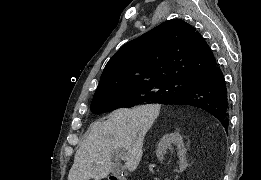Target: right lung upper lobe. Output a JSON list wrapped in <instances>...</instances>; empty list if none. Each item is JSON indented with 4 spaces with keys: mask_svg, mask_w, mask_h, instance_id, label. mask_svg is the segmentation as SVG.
I'll use <instances>...</instances> for the list:
<instances>
[{
    "mask_svg": "<svg viewBox=\"0 0 261 180\" xmlns=\"http://www.w3.org/2000/svg\"><path fill=\"white\" fill-rule=\"evenodd\" d=\"M217 66L209 45L181 19H172L123 45L106 64L93 98L162 80L192 81Z\"/></svg>",
    "mask_w": 261,
    "mask_h": 180,
    "instance_id": "right-lung-upper-lobe-1",
    "label": "right lung upper lobe"
}]
</instances>
